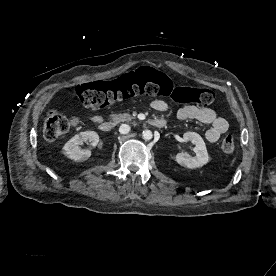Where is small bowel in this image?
Here are the masks:
<instances>
[{
	"label": "small bowel",
	"mask_w": 276,
	"mask_h": 276,
	"mask_svg": "<svg viewBox=\"0 0 276 276\" xmlns=\"http://www.w3.org/2000/svg\"><path fill=\"white\" fill-rule=\"evenodd\" d=\"M151 106L154 110L159 112H165L168 109L167 103L162 100H154L151 103ZM177 118L180 120H196L201 123L211 125V127L206 131L205 137L212 143L216 142L220 136L229 129L228 120L222 116H219L212 108L188 105L178 110ZM89 119L95 123L102 121V117L99 115H90Z\"/></svg>",
	"instance_id": "1"
}]
</instances>
